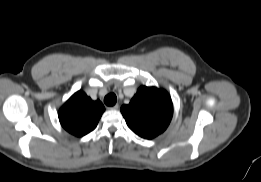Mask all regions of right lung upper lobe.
<instances>
[{
  "instance_id": "cb5924a9",
  "label": "right lung upper lobe",
  "mask_w": 261,
  "mask_h": 182,
  "mask_svg": "<svg viewBox=\"0 0 261 182\" xmlns=\"http://www.w3.org/2000/svg\"><path fill=\"white\" fill-rule=\"evenodd\" d=\"M104 111L99 100L93 101L83 91H78L65 102L58 115L65 130L82 137L95 129Z\"/></svg>"
}]
</instances>
